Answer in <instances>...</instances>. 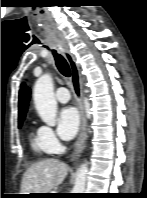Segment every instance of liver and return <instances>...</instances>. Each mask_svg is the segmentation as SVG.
Segmentation results:
<instances>
[{"instance_id": "1", "label": "liver", "mask_w": 147, "mask_h": 198, "mask_svg": "<svg viewBox=\"0 0 147 198\" xmlns=\"http://www.w3.org/2000/svg\"><path fill=\"white\" fill-rule=\"evenodd\" d=\"M68 174V166L55 158L44 159L31 165L23 175L21 194L48 193L60 185Z\"/></svg>"}]
</instances>
